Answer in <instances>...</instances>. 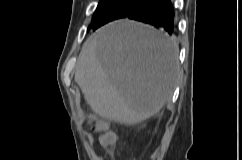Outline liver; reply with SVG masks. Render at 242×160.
I'll use <instances>...</instances> for the list:
<instances>
[{"mask_svg": "<svg viewBox=\"0 0 242 160\" xmlns=\"http://www.w3.org/2000/svg\"><path fill=\"white\" fill-rule=\"evenodd\" d=\"M178 44L147 25L118 20L82 46L75 81L100 117L126 125L157 114L179 76Z\"/></svg>", "mask_w": 242, "mask_h": 160, "instance_id": "1", "label": "liver"}]
</instances>
